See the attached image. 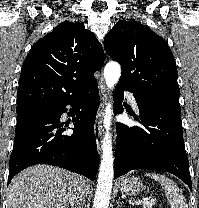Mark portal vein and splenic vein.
Masks as SVG:
<instances>
[{
    "label": "portal vein and splenic vein",
    "instance_id": "18ae733b",
    "mask_svg": "<svg viewBox=\"0 0 199 208\" xmlns=\"http://www.w3.org/2000/svg\"><path fill=\"white\" fill-rule=\"evenodd\" d=\"M130 205H154L155 203L150 200L149 198H144L141 201H134V202H129Z\"/></svg>",
    "mask_w": 199,
    "mask_h": 208
}]
</instances>
